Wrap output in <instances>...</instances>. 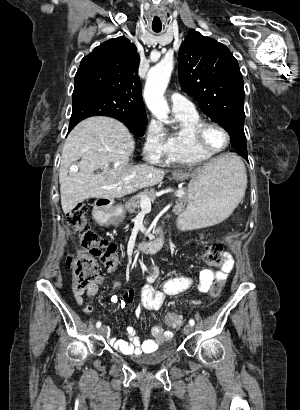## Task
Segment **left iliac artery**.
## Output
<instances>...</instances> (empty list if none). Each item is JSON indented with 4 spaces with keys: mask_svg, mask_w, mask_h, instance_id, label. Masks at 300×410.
<instances>
[{
    "mask_svg": "<svg viewBox=\"0 0 300 410\" xmlns=\"http://www.w3.org/2000/svg\"><path fill=\"white\" fill-rule=\"evenodd\" d=\"M189 324H190L191 326H194V325H195V321H194L193 319H190V320H189Z\"/></svg>",
    "mask_w": 300,
    "mask_h": 410,
    "instance_id": "obj_1",
    "label": "left iliac artery"
}]
</instances>
